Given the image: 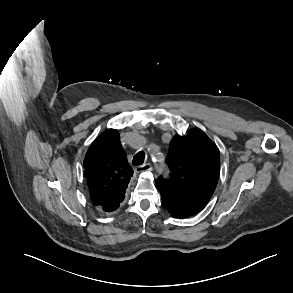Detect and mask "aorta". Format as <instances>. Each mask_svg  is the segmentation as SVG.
<instances>
[{"label":"aorta","mask_w":293,"mask_h":293,"mask_svg":"<svg viewBox=\"0 0 293 293\" xmlns=\"http://www.w3.org/2000/svg\"><path fill=\"white\" fill-rule=\"evenodd\" d=\"M153 163L156 169V172L159 175H163L167 171L166 163L163 159H160L158 155H152Z\"/></svg>","instance_id":"1"}]
</instances>
